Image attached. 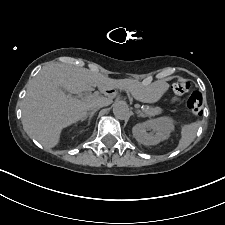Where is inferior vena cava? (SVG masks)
Masks as SVG:
<instances>
[{"instance_id":"602c4592","label":"inferior vena cava","mask_w":225,"mask_h":225,"mask_svg":"<svg viewBox=\"0 0 225 225\" xmlns=\"http://www.w3.org/2000/svg\"><path fill=\"white\" fill-rule=\"evenodd\" d=\"M104 106H106L105 100L103 98H99L95 103H93L90 106L89 110L93 111V110L99 109Z\"/></svg>"}]
</instances>
